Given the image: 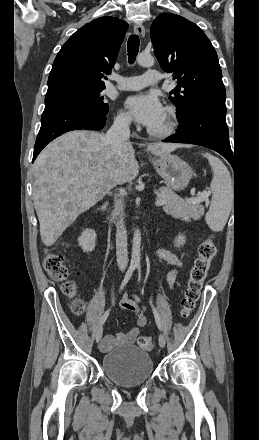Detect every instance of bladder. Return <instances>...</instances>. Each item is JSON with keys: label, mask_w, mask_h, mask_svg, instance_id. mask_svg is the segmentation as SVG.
<instances>
[{"label": "bladder", "mask_w": 259, "mask_h": 440, "mask_svg": "<svg viewBox=\"0 0 259 440\" xmlns=\"http://www.w3.org/2000/svg\"><path fill=\"white\" fill-rule=\"evenodd\" d=\"M103 373L121 386L146 382L153 374L152 357L135 345L120 346L102 358Z\"/></svg>", "instance_id": "31cf9c89"}]
</instances>
